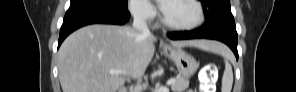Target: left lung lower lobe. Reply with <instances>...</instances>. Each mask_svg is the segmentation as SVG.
I'll return each instance as SVG.
<instances>
[{"mask_svg": "<svg viewBox=\"0 0 296 92\" xmlns=\"http://www.w3.org/2000/svg\"><path fill=\"white\" fill-rule=\"evenodd\" d=\"M172 40H185V39H214L227 44L234 52L236 59H238L237 51V32L235 26L225 25L212 31H204L201 28L185 32H171L167 34Z\"/></svg>", "mask_w": 296, "mask_h": 92, "instance_id": "obj_1", "label": "left lung lower lobe"}]
</instances>
